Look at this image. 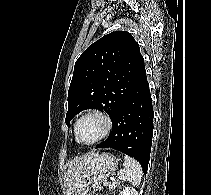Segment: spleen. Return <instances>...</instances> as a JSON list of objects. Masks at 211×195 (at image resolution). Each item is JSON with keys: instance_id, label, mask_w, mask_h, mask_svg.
Here are the masks:
<instances>
[{"instance_id": "3e777b00", "label": "spleen", "mask_w": 211, "mask_h": 195, "mask_svg": "<svg viewBox=\"0 0 211 195\" xmlns=\"http://www.w3.org/2000/svg\"><path fill=\"white\" fill-rule=\"evenodd\" d=\"M142 174L140 164L135 159L125 155L123 169L118 173L119 178L129 181L133 185H138L141 182Z\"/></svg>"}]
</instances>
